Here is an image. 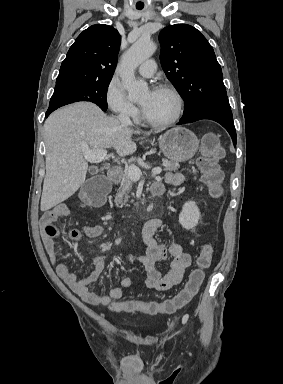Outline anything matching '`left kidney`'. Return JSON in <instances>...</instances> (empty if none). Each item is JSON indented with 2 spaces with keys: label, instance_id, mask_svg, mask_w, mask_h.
Segmentation results:
<instances>
[{
  "label": "left kidney",
  "instance_id": "left-kidney-1",
  "mask_svg": "<svg viewBox=\"0 0 283 384\" xmlns=\"http://www.w3.org/2000/svg\"><path fill=\"white\" fill-rule=\"evenodd\" d=\"M200 220V212L195 202H186L183 206L181 214H179V222L185 230H193Z\"/></svg>",
  "mask_w": 283,
  "mask_h": 384
}]
</instances>
